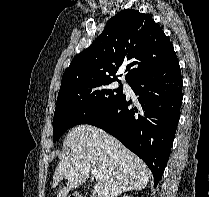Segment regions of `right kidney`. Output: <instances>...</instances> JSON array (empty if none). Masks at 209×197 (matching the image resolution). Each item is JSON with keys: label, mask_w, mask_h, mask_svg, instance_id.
<instances>
[{"label": "right kidney", "mask_w": 209, "mask_h": 197, "mask_svg": "<svg viewBox=\"0 0 209 197\" xmlns=\"http://www.w3.org/2000/svg\"><path fill=\"white\" fill-rule=\"evenodd\" d=\"M122 197H130V196L124 195V196H122Z\"/></svg>", "instance_id": "right-kidney-1"}]
</instances>
